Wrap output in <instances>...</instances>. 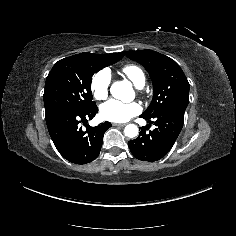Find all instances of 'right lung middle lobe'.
Listing matches in <instances>:
<instances>
[{"label": "right lung middle lobe", "mask_w": 236, "mask_h": 236, "mask_svg": "<svg viewBox=\"0 0 236 236\" xmlns=\"http://www.w3.org/2000/svg\"><path fill=\"white\" fill-rule=\"evenodd\" d=\"M122 57L114 53H81L56 62L46 78L45 113L57 110L81 112L95 106L91 93L92 76Z\"/></svg>", "instance_id": "obj_1"}]
</instances>
